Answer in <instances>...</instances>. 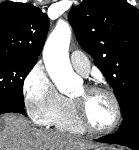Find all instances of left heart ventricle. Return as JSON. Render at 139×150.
<instances>
[{"label":"left heart ventricle","mask_w":139,"mask_h":150,"mask_svg":"<svg viewBox=\"0 0 139 150\" xmlns=\"http://www.w3.org/2000/svg\"><path fill=\"white\" fill-rule=\"evenodd\" d=\"M73 98L84 102L86 116L90 124L97 129L108 128L114 121L115 110L110 97L102 92H87L81 86Z\"/></svg>","instance_id":"obj_1"}]
</instances>
